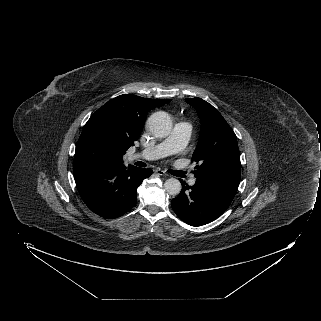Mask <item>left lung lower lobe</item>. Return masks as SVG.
<instances>
[{
	"mask_svg": "<svg viewBox=\"0 0 321 321\" xmlns=\"http://www.w3.org/2000/svg\"><path fill=\"white\" fill-rule=\"evenodd\" d=\"M196 178L190 187L180 180L182 190L172 199V208L185 223L201 226L226 211L237 192L241 174L220 173Z\"/></svg>",
	"mask_w": 321,
	"mask_h": 321,
	"instance_id": "0a47b994",
	"label": "left lung lower lobe"
}]
</instances>
